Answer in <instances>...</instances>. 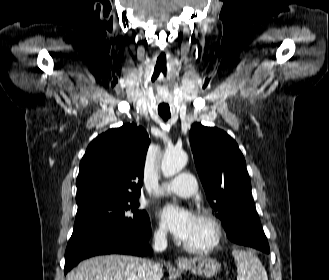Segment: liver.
I'll list each match as a JSON object with an SVG mask.
<instances>
[{
  "instance_id": "1",
  "label": "liver",
  "mask_w": 329,
  "mask_h": 280,
  "mask_svg": "<svg viewBox=\"0 0 329 280\" xmlns=\"http://www.w3.org/2000/svg\"><path fill=\"white\" fill-rule=\"evenodd\" d=\"M144 259L125 255H105L80 263L66 280H140L139 272ZM163 275L162 266L156 272V280Z\"/></svg>"
}]
</instances>
